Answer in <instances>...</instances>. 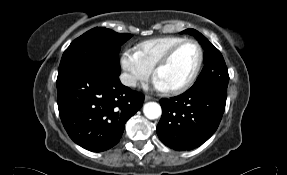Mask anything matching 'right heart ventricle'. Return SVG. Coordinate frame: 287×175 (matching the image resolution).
Segmentation results:
<instances>
[{
	"mask_svg": "<svg viewBox=\"0 0 287 175\" xmlns=\"http://www.w3.org/2000/svg\"><path fill=\"white\" fill-rule=\"evenodd\" d=\"M185 40L178 36H164L145 40L136 45L135 50L141 60L151 69L174 45Z\"/></svg>",
	"mask_w": 287,
	"mask_h": 175,
	"instance_id": "obj_1",
	"label": "right heart ventricle"
}]
</instances>
